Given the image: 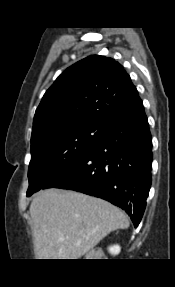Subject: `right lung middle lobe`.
I'll use <instances>...</instances> for the list:
<instances>
[{"label":"right lung middle lobe","mask_w":175,"mask_h":287,"mask_svg":"<svg viewBox=\"0 0 175 287\" xmlns=\"http://www.w3.org/2000/svg\"><path fill=\"white\" fill-rule=\"evenodd\" d=\"M107 126L85 123L65 126L31 142L27 196L83 158L105 135Z\"/></svg>","instance_id":"1"}]
</instances>
